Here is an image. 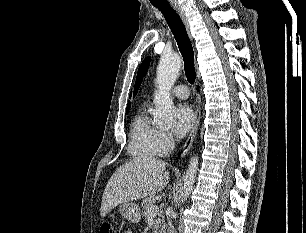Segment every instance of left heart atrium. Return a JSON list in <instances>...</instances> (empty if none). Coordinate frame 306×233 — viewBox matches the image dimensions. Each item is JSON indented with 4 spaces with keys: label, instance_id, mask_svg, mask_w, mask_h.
<instances>
[{
    "label": "left heart atrium",
    "instance_id": "left-heart-atrium-1",
    "mask_svg": "<svg viewBox=\"0 0 306 233\" xmlns=\"http://www.w3.org/2000/svg\"><path fill=\"white\" fill-rule=\"evenodd\" d=\"M173 120L175 134L182 137L193 127L195 116L187 104H180L174 109Z\"/></svg>",
    "mask_w": 306,
    "mask_h": 233
}]
</instances>
